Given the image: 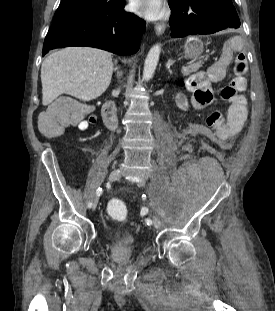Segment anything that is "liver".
<instances>
[{
	"label": "liver",
	"instance_id": "liver-1",
	"mask_svg": "<svg viewBox=\"0 0 275 311\" xmlns=\"http://www.w3.org/2000/svg\"><path fill=\"white\" fill-rule=\"evenodd\" d=\"M113 73L112 55L91 47H68L48 55L41 66L42 104L62 94L82 101L101 96Z\"/></svg>",
	"mask_w": 275,
	"mask_h": 311
}]
</instances>
